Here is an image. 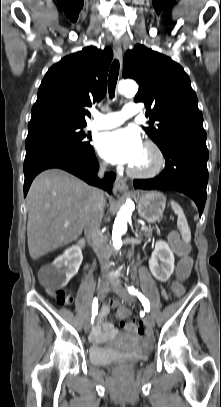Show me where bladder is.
I'll list each match as a JSON object with an SVG mask.
<instances>
[{"label": "bladder", "mask_w": 221, "mask_h": 407, "mask_svg": "<svg viewBox=\"0 0 221 407\" xmlns=\"http://www.w3.org/2000/svg\"><path fill=\"white\" fill-rule=\"evenodd\" d=\"M145 358L146 356L141 353L123 356L109 347L93 346L89 349V361L96 366H107L121 361L138 362Z\"/></svg>", "instance_id": "1"}]
</instances>
